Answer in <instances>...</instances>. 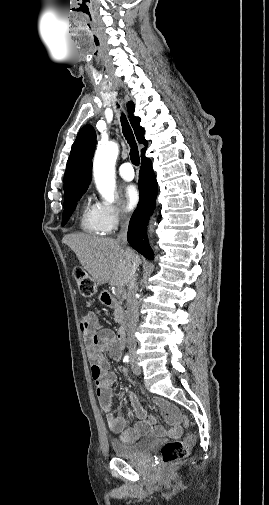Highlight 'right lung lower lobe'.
<instances>
[{
  "label": "right lung lower lobe",
  "instance_id": "obj_1",
  "mask_svg": "<svg viewBox=\"0 0 269 505\" xmlns=\"http://www.w3.org/2000/svg\"><path fill=\"white\" fill-rule=\"evenodd\" d=\"M138 186L140 199L129 222L127 239L129 244L144 257L153 259L154 254L145 233L149 216L155 208L158 184L149 158H142Z\"/></svg>",
  "mask_w": 269,
  "mask_h": 505
}]
</instances>
